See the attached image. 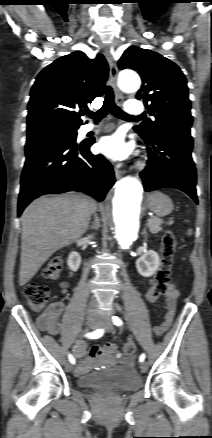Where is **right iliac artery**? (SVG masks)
Returning <instances> with one entry per match:
<instances>
[{
    "mask_svg": "<svg viewBox=\"0 0 212 438\" xmlns=\"http://www.w3.org/2000/svg\"><path fill=\"white\" fill-rule=\"evenodd\" d=\"M103 334H104L103 329H96L91 333H87L85 336L90 339H97L100 338ZM68 359L70 363L75 364V358L71 354L68 355Z\"/></svg>",
    "mask_w": 212,
    "mask_h": 438,
    "instance_id": "obj_1",
    "label": "right iliac artery"
}]
</instances>
